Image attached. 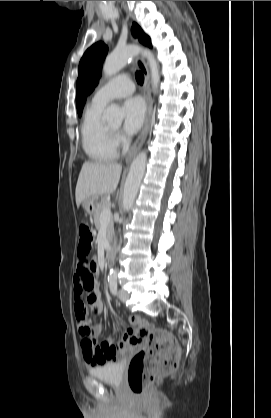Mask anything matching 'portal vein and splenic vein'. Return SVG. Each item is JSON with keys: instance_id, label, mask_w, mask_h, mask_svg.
<instances>
[{"instance_id": "1", "label": "portal vein and splenic vein", "mask_w": 271, "mask_h": 418, "mask_svg": "<svg viewBox=\"0 0 271 418\" xmlns=\"http://www.w3.org/2000/svg\"><path fill=\"white\" fill-rule=\"evenodd\" d=\"M111 209L110 207L106 208L105 210H103V212L101 213L100 216V221L101 223H108L111 219Z\"/></svg>"}]
</instances>
